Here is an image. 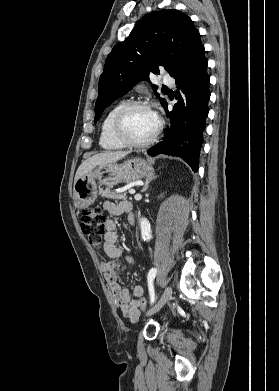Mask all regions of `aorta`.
Segmentation results:
<instances>
[{"label": "aorta", "instance_id": "obj_1", "mask_svg": "<svg viewBox=\"0 0 279 391\" xmlns=\"http://www.w3.org/2000/svg\"><path fill=\"white\" fill-rule=\"evenodd\" d=\"M141 226V236L144 241H149L151 239V227L150 223L146 218H142L140 221Z\"/></svg>", "mask_w": 279, "mask_h": 391}]
</instances>
